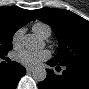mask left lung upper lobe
Wrapping results in <instances>:
<instances>
[{
  "label": "left lung upper lobe",
  "instance_id": "obj_1",
  "mask_svg": "<svg viewBox=\"0 0 89 89\" xmlns=\"http://www.w3.org/2000/svg\"><path fill=\"white\" fill-rule=\"evenodd\" d=\"M35 17L51 26L56 34L59 50L52 59L65 66L89 64V22L79 15L54 8L33 10Z\"/></svg>",
  "mask_w": 89,
  "mask_h": 89
}]
</instances>
